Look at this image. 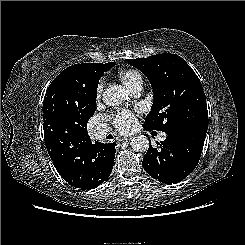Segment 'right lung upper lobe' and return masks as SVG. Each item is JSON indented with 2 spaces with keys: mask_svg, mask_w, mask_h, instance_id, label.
Returning a JSON list of instances; mask_svg holds the SVG:
<instances>
[{
  "mask_svg": "<svg viewBox=\"0 0 245 245\" xmlns=\"http://www.w3.org/2000/svg\"><path fill=\"white\" fill-rule=\"evenodd\" d=\"M115 65L82 63L63 70L49 85L43 101L45 140H73L92 114L91 90L95 82Z\"/></svg>",
  "mask_w": 245,
  "mask_h": 245,
  "instance_id": "1",
  "label": "right lung upper lobe"
}]
</instances>
